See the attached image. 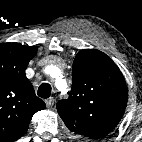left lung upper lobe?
Returning <instances> with one entry per match:
<instances>
[{
    "mask_svg": "<svg viewBox=\"0 0 142 142\" xmlns=\"http://www.w3.org/2000/svg\"><path fill=\"white\" fill-rule=\"evenodd\" d=\"M128 99L125 79L103 52L77 53L69 98L57 102V111L78 140H98L110 134L121 120Z\"/></svg>",
    "mask_w": 142,
    "mask_h": 142,
    "instance_id": "left-lung-upper-lobe-1",
    "label": "left lung upper lobe"
}]
</instances>
